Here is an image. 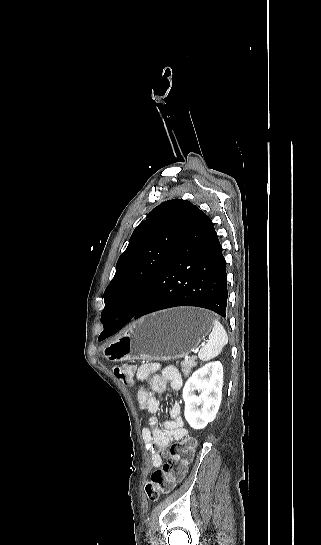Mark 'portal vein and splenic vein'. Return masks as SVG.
I'll use <instances>...</instances> for the list:
<instances>
[{"label":"portal vein and splenic vein","instance_id":"18ae733b","mask_svg":"<svg viewBox=\"0 0 321 545\" xmlns=\"http://www.w3.org/2000/svg\"><path fill=\"white\" fill-rule=\"evenodd\" d=\"M207 344V341L205 339H202L198 344H197V347L195 349H193V354H198L200 353L203 349H204V346Z\"/></svg>","mask_w":321,"mask_h":545}]
</instances>
